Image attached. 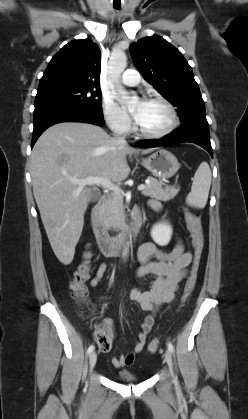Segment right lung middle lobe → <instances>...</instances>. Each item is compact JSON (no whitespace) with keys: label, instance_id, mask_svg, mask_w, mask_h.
Masks as SVG:
<instances>
[{"label":"right lung middle lobe","instance_id":"obj_1","mask_svg":"<svg viewBox=\"0 0 248 419\" xmlns=\"http://www.w3.org/2000/svg\"><path fill=\"white\" fill-rule=\"evenodd\" d=\"M55 104H74L82 106L97 115H103L102 97L99 88L58 87L38 90L35 108Z\"/></svg>","mask_w":248,"mask_h":419}]
</instances>
